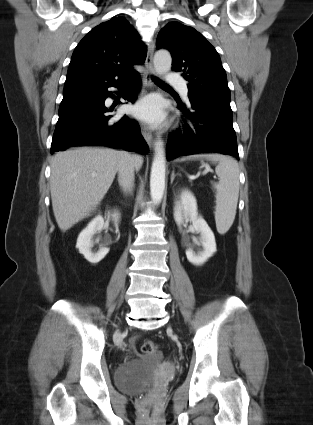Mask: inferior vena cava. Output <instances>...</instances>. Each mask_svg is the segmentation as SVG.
<instances>
[{
    "label": "inferior vena cava",
    "mask_w": 313,
    "mask_h": 425,
    "mask_svg": "<svg viewBox=\"0 0 313 425\" xmlns=\"http://www.w3.org/2000/svg\"><path fill=\"white\" fill-rule=\"evenodd\" d=\"M134 171V158L131 155H126L118 165V182L125 193H131L133 190Z\"/></svg>",
    "instance_id": "obj_1"
}]
</instances>
